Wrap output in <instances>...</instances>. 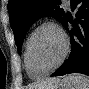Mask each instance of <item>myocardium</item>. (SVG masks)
Segmentation results:
<instances>
[{
	"mask_svg": "<svg viewBox=\"0 0 89 89\" xmlns=\"http://www.w3.org/2000/svg\"><path fill=\"white\" fill-rule=\"evenodd\" d=\"M44 27H52V28L56 29L63 38L64 46H63V51H62L60 58L53 66H51L48 69L39 70L36 68V65H35L33 57H32V44H33L34 38H35L36 34L38 33V31ZM69 48H70V42H69V38H68L66 32L57 23L52 22V21H45V22L41 23L40 25H38L33 30V32L31 33V35L29 37L28 45H27V56H28L30 66L32 67V69L37 71L42 76L46 75V74L52 72L53 70H55L56 68H58L65 61V59L68 55V52H69Z\"/></svg>",
	"mask_w": 89,
	"mask_h": 89,
	"instance_id": "obj_1",
	"label": "myocardium"
}]
</instances>
